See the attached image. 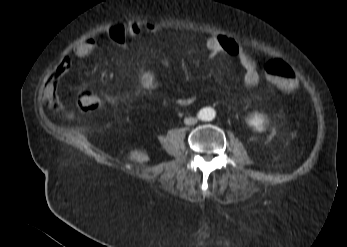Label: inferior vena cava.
I'll use <instances>...</instances> for the list:
<instances>
[{"instance_id":"602c4592","label":"inferior vena cava","mask_w":347,"mask_h":247,"mask_svg":"<svg viewBox=\"0 0 347 247\" xmlns=\"http://www.w3.org/2000/svg\"><path fill=\"white\" fill-rule=\"evenodd\" d=\"M185 122H186L187 124H195V123L197 122V119L194 118V117H190V118H186V119H185Z\"/></svg>"}]
</instances>
